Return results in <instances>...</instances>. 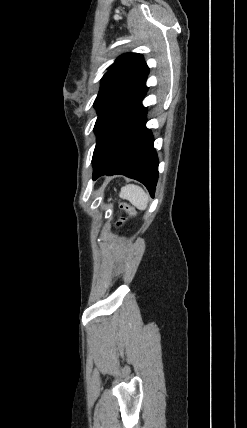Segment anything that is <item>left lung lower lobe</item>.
I'll return each mask as SVG.
<instances>
[{
    "instance_id": "1",
    "label": "left lung lower lobe",
    "mask_w": 247,
    "mask_h": 428,
    "mask_svg": "<svg viewBox=\"0 0 247 428\" xmlns=\"http://www.w3.org/2000/svg\"><path fill=\"white\" fill-rule=\"evenodd\" d=\"M146 90L122 106L98 133L93 179L123 174L143 183L153 197L158 179V158L153 136L146 128L147 108L141 104Z\"/></svg>"
}]
</instances>
